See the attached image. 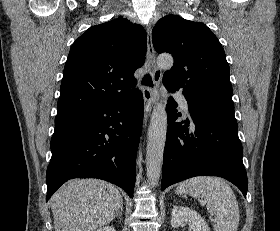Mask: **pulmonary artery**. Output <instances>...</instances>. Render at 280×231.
Wrapping results in <instances>:
<instances>
[{"instance_id": "pulmonary-artery-1", "label": "pulmonary artery", "mask_w": 280, "mask_h": 231, "mask_svg": "<svg viewBox=\"0 0 280 231\" xmlns=\"http://www.w3.org/2000/svg\"><path fill=\"white\" fill-rule=\"evenodd\" d=\"M173 96L179 105H188V102H187L185 96L181 92H176ZM181 111H182V113H190L189 110H181ZM188 119L191 120V118H188Z\"/></svg>"}]
</instances>
